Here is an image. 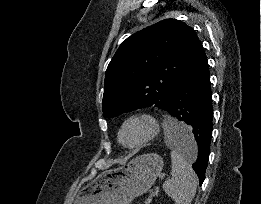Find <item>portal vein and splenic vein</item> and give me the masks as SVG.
<instances>
[{"label":"portal vein and splenic vein","instance_id":"obj_1","mask_svg":"<svg viewBox=\"0 0 261 204\" xmlns=\"http://www.w3.org/2000/svg\"><path fill=\"white\" fill-rule=\"evenodd\" d=\"M153 197H154V191L151 190L149 195H148V197H147V199L145 200V204H150L152 199H153Z\"/></svg>","mask_w":261,"mask_h":204}]
</instances>
